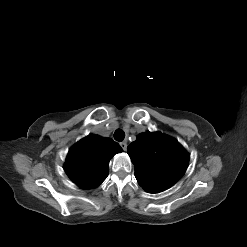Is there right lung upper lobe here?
Listing matches in <instances>:
<instances>
[{"instance_id": "cb5924a9", "label": "right lung upper lobe", "mask_w": 247, "mask_h": 247, "mask_svg": "<svg viewBox=\"0 0 247 247\" xmlns=\"http://www.w3.org/2000/svg\"><path fill=\"white\" fill-rule=\"evenodd\" d=\"M122 148L113 140L88 135L70 148L64 170L83 189L99 186L109 174V160Z\"/></svg>"}]
</instances>
